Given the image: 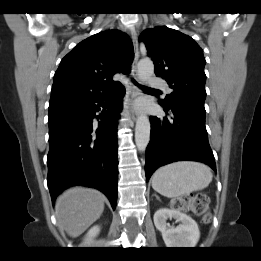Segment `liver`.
<instances>
[{"label":"liver","instance_id":"1","mask_svg":"<svg viewBox=\"0 0 261 261\" xmlns=\"http://www.w3.org/2000/svg\"><path fill=\"white\" fill-rule=\"evenodd\" d=\"M104 195L94 189L75 187L64 192L56 202L59 225L70 237L80 236L100 218L104 210Z\"/></svg>","mask_w":261,"mask_h":261}]
</instances>
